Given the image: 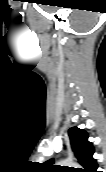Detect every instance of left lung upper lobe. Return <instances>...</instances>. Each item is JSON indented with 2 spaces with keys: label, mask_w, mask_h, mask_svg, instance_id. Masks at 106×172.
Instances as JSON below:
<instances>
[{
  "label": "left lung upper lobe",
  "mask_w": 106,
  "mask_h": 172,
  "mask_svg": "<svg viewBox=\"0 0 106 172\" xmlns=\"http://www.w3.org/2000/svg\"><path fill=\"white\" fill-rule=\"evenodd\" d=\"M70 144L75 158L84 167V169L77 170L78 172H97V162L93 158L94 147L88 141V134L86 131L77 127H72L69 132ZM54 159L45 162V165L52 171H62L60 166H54Z\"/></svg>",
  "instance_id": "left-lung-upper-lobe-1"
}]
</instances>
